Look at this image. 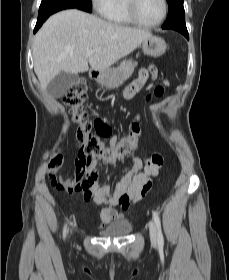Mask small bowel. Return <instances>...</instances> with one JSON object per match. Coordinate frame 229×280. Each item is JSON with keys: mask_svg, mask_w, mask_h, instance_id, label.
<instances>
[{"mask_svg": "<svg viewBox=\"0 0 229 280\" xmlns=\"http://www.w3.org/2000/svg\"><path fill=\"white\" fill-rule=\"evenodd\" d=\"M157 71L154 68L142 69L139 76L124 91V98L132 99L150 79L155 78ZM164 88L158 86L154 89L155 96H161ZM102 138L115 145L117 138L112 135L104 134ZM157 171L152 172L144 166V160L137 154L134 155L133 165L128 173L120 177L112 192L107 185H100L97 182L84 187L86 183V171L82 169L78 162L73 172L72 178L69 180L77 193L81 195L83 202L93 201L97 205H104L100 211L101 224L99 228H103L115 219L122 217V213L116 210H128L135 200L141 198L140 190L143 184L150 181L151 176H155ZM61 186H59L60 188Z\"/></svg>", "mask_w": 229, "mask_h": 280, "instance_id": "1", "label": "small bowel"}]
</instances>
